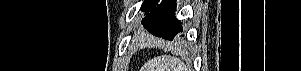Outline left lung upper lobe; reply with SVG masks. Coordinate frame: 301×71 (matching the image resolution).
<instances>
[{
	"mask_svg": "<svg viewBox=\"0 0 301 71\" xmlns=\"http://www.w3.org/2000/svg\"><path fill=\"white\" fill-rule=\"evenodd\" d=\"M160 0H145L141 6V10L147 14L153 7H155Z\"/></svg>",
	"mask_w": 301,
	"mask_h": 71,
	"instance_id": "obj_1",
	"label": "left lung upper lobe"
}]
</instances>
